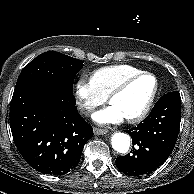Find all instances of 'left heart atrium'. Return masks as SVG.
Instances as JSON below:
<instances>
[{"mask_svg": "<svg viewBox=\"0 0 194 194\" xmlns=\"http://www.w3.org/2000/svg\"><path fill=\"white\" fill-rule=\"evenodd\" d=\"M93 119L98 124H111L119 123L124 118L122 115L111 105L105 109L96 112L93 115Z\"/></svg>", "mask_w": 194, "mask_h": 194, "instance_id": "1", "label": "left heart atrium"}]
</instances>
